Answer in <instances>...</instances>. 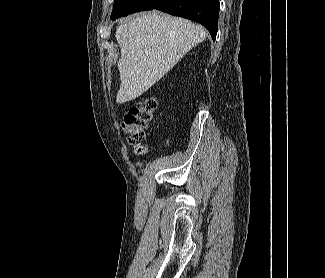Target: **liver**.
<instances>
[{"instance_id":"1","label":"liver","mask_w":325,"mask_h":278,"mask_svg":"<svg viewBox=\"0 0 325 278\" xmlns=\"http://www.w3.org/2000/svg\"><path fill=\"white\" fill-rule=\"evenodd\" d=\"M119 104L134 100L167 74L194 46L205 40L202 26L158 12L136 14L117 27Z\"/></svg>"}]
</instances>
